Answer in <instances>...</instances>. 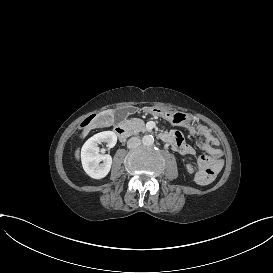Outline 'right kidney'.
<instances>
[{"instance_id":"ca27d5eb","label":"right kidney","mask_w":273,"mask_h":273,"mask_svg":"<svg viewBox=\"0 0 273 273\" xmlns=\"http://www.w3.org/2000/svg\"><path fill=\"white\" fill-rule=\"evenodd\" d=\"M106 142L109 148H112L117 143V136L113 132H102L91 137L82 148V165L84 171L91 178L101 180L105 178L112 166V158L110 155H102L98 147L99 144ZM103 161L104 164H99Z\"/></svg>"}]
</instances>
